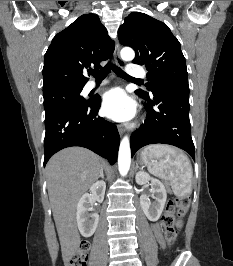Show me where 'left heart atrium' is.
<instances>
[{
    "instance_id": "obj_1",
    "label": "left heart atrium",
    "mask_w": 233,
    "mask_h": 266,
    "mask_svg": "<svg viewBox=\"0 0 233 266\" xmlns=\"http://www.w3.org/2000/svg\"><path fill=\"white\" fill-rule=\"evenodd\" d=\"M103 114L115 121H128L136 112V105L122 88H113L103 95Z\"/></svg>"
}]
</instances>
